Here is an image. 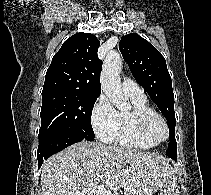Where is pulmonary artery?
Listing matches in <instances>:
<instances>
[{
    "label": "pulmonary artery",
    "instance_id": "pulmonary-artery-1",
    "mask_svg": "<svg viewBox=\"0 0 211 195\" xmlns=\"http://www.w3.org/2000/svg\"><path fill=\"white\" fill-rule=\"evenodd\" d=\"M122 90L126 95L145 96L143 89L130 78H124L122 80Z\"/></svg>",
    "mask_w": 211,
    "mask_h": 195
}]
</instances>
